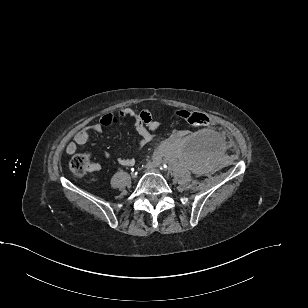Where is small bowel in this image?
<instances>
[{
	"label": "small bowel",
	"instance_id": "obj_1",
	"mask_svg": "<svg viewBox=\"0 0 308 308\" xmlns=\"http://www.w3.org/2000/svg\"><path fill=\"white\" fill-rule=\"evenodd\" d=\"M119 117L129 119L133 122L137 133L140 135L137 143L138 150L144 149L152 141V132L158 130L161 126L158 121L154 120L151 109L135 111L132 108H123L119 112ZM118 122V117L113 114L101 116L97 123L87 126L75 134L73 141L67 145V153L73 154L77 147L86 144L92 135L98 134L104 127L114 125ZM105 156H108V154L106 153ZM118 162L122 166H133L135 164L134 159L123 157H119Z\"/></svg>",
	"mask_w": 308,
	"mask_h": 308
}]
</instances>
